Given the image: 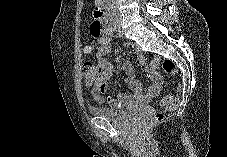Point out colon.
Masks as SVG:
<instances>
[{
	"label": "colon",
	"instance_id": "5ec220e1",
	"mask_svg": "<svg viewBox=\"0 0 227 157\" xmlns=\"http://www.w3.org/2000/svg\"><path fill=\"white\" fill-rule=\"evenodd\" d=\"M92 33L95 37H98L100 35V32H93V30H92ZM162 69L164 73H166L167 75L173 76L177 74V68L175 63L169 59H165L162 62ZM83 71H84V78H85L86 84L93 85L99 74L97 67H95L92 63L87 62L83 66ZM177 104H178V101L176 97L172 94L164 96L159 101V105L167 111L173 110L177 106ZM164 117H165L164 112H158L153 116L152 121L154 123H159L164 119Z\"/></svg>",
	"mask_w": 227,
	"mask_h": 157
}]
</instances>
